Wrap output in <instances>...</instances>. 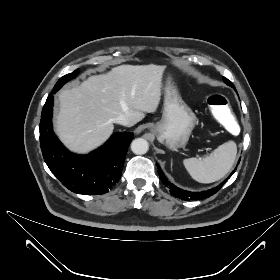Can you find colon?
Here are the masks:
<instances>
[{"mask_svg":"<svg viewBox=\"0 0 280 280\" xmlns=\"http://www.w3.org/2000/svg\"><path fill=\"white\" fill-rule=\"evenodd\" d=\"M208 107L213 117L225 127L226 131L235 136H240L244 132L241 123L236 122L227 99L221 94H211L207 98Z\"/></svg>","mask_w":280,"mask_h":280,"instance_id":"obj_1","label":"colon"}]
</instances>
